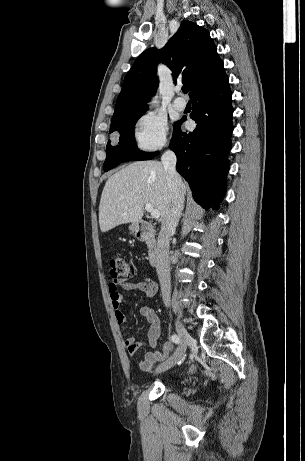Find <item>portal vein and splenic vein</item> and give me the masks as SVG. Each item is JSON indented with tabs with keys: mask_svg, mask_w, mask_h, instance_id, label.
<instances>
[{
	"mask_svg": "<svg viewBox=\"0 0 305 461\" xmlns=\"http://www.w3.org/2000/svg\"><path fill=\"white\" fill-rule=\"evenodd\" d=\"M145 210H146L147 212H149L150 215H151L153 218H159V217H160L159 211L156 210V209H154V207H153L151 204H149V203L145 204Z\"/></svg>",
	"mask_w": 305,
	"mask_h": 461,
	"instance_id": "18ae733b",
	"label": "portal vein and splenic vein"
}]
</instances>
